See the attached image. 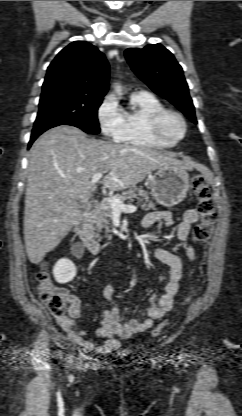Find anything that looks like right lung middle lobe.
I'll use <instances>...</instances> for the list:
<instances>
[{
    "instance_id": "1",
    "label": "right lung middle lobe",
    "mask_w": 242,
    "mask_h": 416,
    "mask_svg": "<svg viewBox=\"0 0 242 416\" xmlns=\"http://www.w3.org/2000/svg\"><path fill=\"white\" fill-rule=\"evenodd\" d=\"M103 97L55 93L41 96L33 133L58 125L76 126L87 133L100 132L97 110Z\"/></svg>"
}]
</instances>
